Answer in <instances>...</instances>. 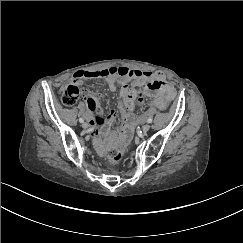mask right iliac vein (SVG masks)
I'll list each match as a JSON object with an SVG mask.
<instances>
[{
  "mask_svg": "<svg viewBox=\"0 0 243 243\" xmlns=\"http://www.w3.org/2000/svg\"><path fill=\"white\" fill-rule=\"evenodd\" d=\"M82 127H83L84 129H87V128H88V123H87V122H83V123H82Z\"/></svg>",
  "mask_w": 243,
  "mask_h": 243,
  "instance_id": "63e3f726",
  "label": "right iliac vein"
}]
</instances>
